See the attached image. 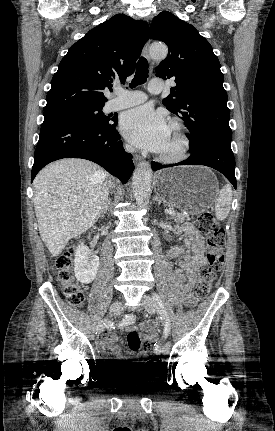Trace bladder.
Returning <instances> with one entry per match:
<instances>
[{
  "label": "bladder",
  "instance_id": "1",
  "mask_svg": "<svg viewBox=\"0 0 275 431\" xmlns=\"http://www.w3.org/2000/svg\"><path fill=\"white\" fill-rule=\"evenodd\" d=\"M116 364H109V367H115ZM127 368L132 372L136 373L138 369H142V366H136L135 364H130Z\"/></svg>",
  "mask_w": 275,
  "mask_h": 431
}]
</instances>
